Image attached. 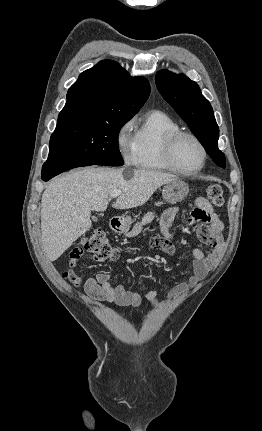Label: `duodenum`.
Returning a JSON list of instances; mask_svg holds the SVG:
<instances>
[{
    "label": "duodenum",
    "mask_w": 262,
    "mask_h": 431,
    "mask_svg": "<svg viewBox=\"0 0 262 431\" xmlns=\"http://www.w3.org/2000/svg\"><path fill=\"white\" fill-rule=\"evenodd\" d=\"M110 223H111L112 228H113L116 232L121 231V230H122V228H123V225H124V223H123L122 219H121L120 217H118V216H113V217H111V219H110Z\"/></svg>",
    "instance_id": "1"
}]
</instances>
